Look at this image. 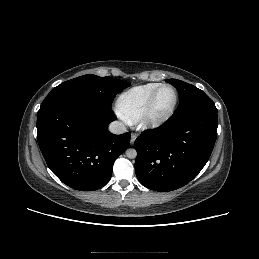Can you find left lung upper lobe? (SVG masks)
Segmentation results:
<instances>
[{
	"label": "left lung upper lobe",
	"mask_w": 259,
	"mask_h": 259,
	"mask_svg": "<svg viewBox=\"0 0 259 259\" xmlns=\"http://www.w3.org/2000/svg\"><path fill=\"white\" fill-rule=\"evenodd\" d=\"M166 81L176 87L180 96V102L175 112L196 107L216 109L214 102L197 87L177 79Z\"/></svg>",
	"instance_id": "obj_1"
}]
</instances>
